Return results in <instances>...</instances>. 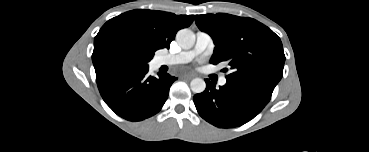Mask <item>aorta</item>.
<instances>
[{"instance_id":"obj_1","label":"aorta","mask_w":369,"mask_h":152,"mask_svg":"<svg viewBox=\"0 0 369 152\" xmlns=\"http://www.w3.org/2000/svg\"><path fill=\"white\" fill-rule=\"evenodd\" d=\"M176 40L182 48L190 49L195 43V34L184 28L177 32ZM190 88L194 93H202L206 88V83L201 78H194L190 83Z\"/></svg>"}]
</instances>
